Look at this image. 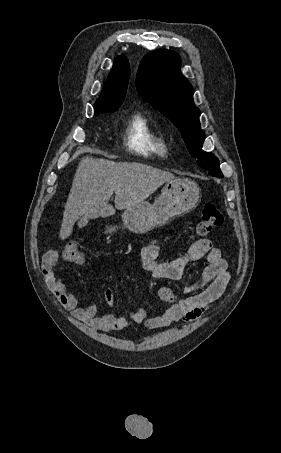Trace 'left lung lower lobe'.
<instances>
[{
  "instance_id": "0a47b994",
  "label": "left lung lower lobe",
  "mask_w": 281,
  "mask_h": 453,
  "mask_svg": "<svg viewBox=\"0 0 281 453\" xmlns=\"http://www.w3.org/2000/svg\"><path fill=\"white\" fill-rule=\"evenodd\" d=\"M213 176H217V177H223V175H213Z\"/></svg>"
}]
</instances>
